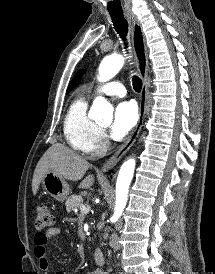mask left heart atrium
<instances>
[{"label": "left heart atrium", "instance_id": "39dd6f15", "mask_svg": "<svg viewBox=\"0 0 215 274\" xmlns=\"http://www.w3.org/2000/svg\"><path fill=\"white\" fill-rule=\"evenodd\" d=\"M138 121L137 106L133 102H122L114 111L111 136L115 140L123 139Z\"/></svg>", "mask_w": 215, "mask_h": 274}]
</instances>
